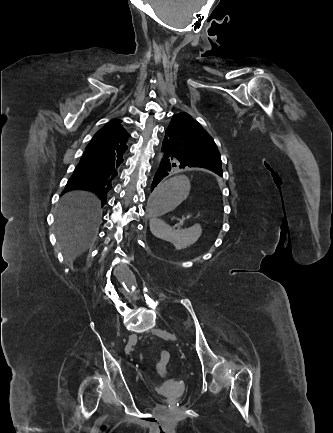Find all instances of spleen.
Returning <instances> with one entry per match:
<instances>
[{
    "mask_svg": "<svg viewBox=\"0 0 333 433\" xmlns=\"http://www.w3.org/2000/svg\"><path fill=\"white\" fill-rule=\"evenodd\" d=\"M149 224L151 233L155 237L171 242L177 250L187 248L188 246L194 244L202 234V228L200 224H195L188 229H175L161 219H150Z\"/></svg>",
    "mask_w": 333,
    "mask_h": 433,
    "instance_id": "1",
    "label": "spleen"
}]
</instances>
